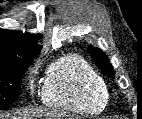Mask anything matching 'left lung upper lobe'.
<instances>
[{"label":"left lung upper lobe","mask_w":142,"mask_h":119,"mask_svg":"<svg viewBox=\"0 0 142 119\" xmlns=\"http://www.w3.org/2000/svg\"><path fill=\"white\" fill-rule=\"evenodd\" d=\"M89 51L97 67L106 75L113 78L115 76V72L105 53L93 46H89Z\"/></svg>","instance_id":"left-lung-upper-lobe-1"}]
</instances>
